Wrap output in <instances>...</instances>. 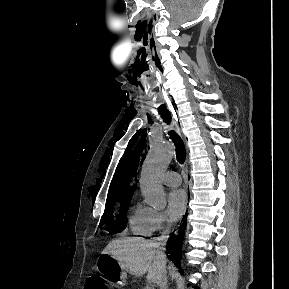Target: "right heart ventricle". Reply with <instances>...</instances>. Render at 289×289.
<instances>
[{
  "label": "right heart ventricle",
  "mask_w": 289,
  "mask_h": 289,
  "mask_svg": "<svg viewBox=\"0 0 289 289\" xmlns=\"http://www.w3.org/2000/svg\"><path fill=\"white\" fill-rule=\"evenodd\" d=\"M155 211L137 202L129 214V225L134 235L150 236L154 231Z\"/></svg>",
  "instance_id": "e07e8e85"
}]
</instances>
